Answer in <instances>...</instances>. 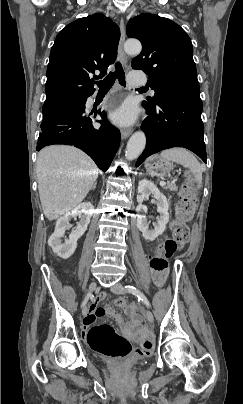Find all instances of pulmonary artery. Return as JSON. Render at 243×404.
Wrapping results in <instances>:
<instances>
[{"mask_svg":"<svg viewBox=\"0 0 243 404\" xmlns=\"http://www.w3.org/2000/svg\"><path fill=\"white\" fill-rule=\"evenodd\" d=\"M129 83L134 84V82H133V81H130V80H129ZM151 93L154 94L155 91L152 89V90H151Z\"/></svg>","mask_w":243,"mask_h":404,"instance_id":"e3ab8cb5","label":"pulmonary artery"}]
</instances>
